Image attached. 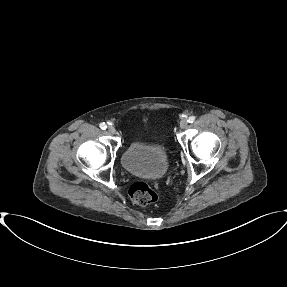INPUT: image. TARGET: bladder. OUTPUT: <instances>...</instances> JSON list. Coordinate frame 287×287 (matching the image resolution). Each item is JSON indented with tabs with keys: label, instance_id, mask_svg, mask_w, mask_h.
<instances>
[{
	"label": "bladder",
	"instance_id": "1",
	"mask_svg": "<svg viewBox=\"0 0 287 287\" xmlns=\"http://www.w3.org/2000/svg\"><path fill=\"white\" fill-rule=\"evenodd\" d=\"M123 168L133 175L157 176L168 169L163 147L146 141L134 140L122 153Z\"/></svg>",
	"mask_w": 287,
	"mask_h": 287
}]
</instances>
